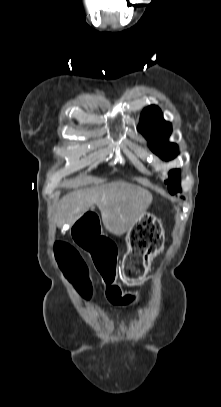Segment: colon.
<instances>
[{
    "mask_svg": "<svg viewBox=\"0 0 221 407\" xmlns=\"http://www.w3.org/2000/svg\"><path fill=\"white\" fill-rule=\"evenodd\" d=\"M99 224L100 217L96 216L93 210H86L84 216H78L75 220L71 237L77 239L78 244L91 253L95 268L107 287L108 305L123 310L125 306L133 303L137 294L135 289L130 287L129 293L124 297L123 292L115 284L117 258L115 247L112 241L104 237ZM56 255L68 279L83 296L89 297L92 292L89 271L78 251L70 244L58 243Z\"/></svg>",
    "mask_w": 221,
    "mask_h": 407,
    "instance_id": "colon-1",
    "label": "colon"
}]
</instances>
